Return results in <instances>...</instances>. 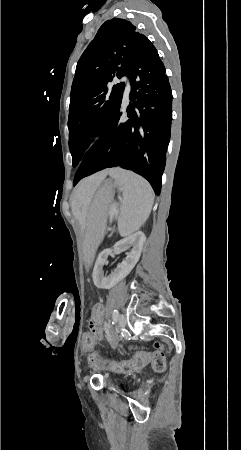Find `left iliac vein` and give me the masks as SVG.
I'll list each match as a JSON object with an SVG mask.
<instances>
[{"mask_svg": "<svg viewBox=\"0 0 241 450\" xmlns=\"http://www.w3.org/2000/svg\"><path fill=\"white\" fill-rule=\"evenodd\" d=\"M125 326H126V319H125L124 315H121L119 317V319H118V326L117 327H118V329H121V328H123Z\"/></svg>", "mask_w": 241, "mask_h": 450, "instance_id": "4c4485c4", "label": "left iliac vein"}]
</instances>
